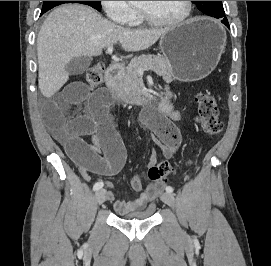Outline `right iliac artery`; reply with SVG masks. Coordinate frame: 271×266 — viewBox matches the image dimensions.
<instances>
[{
  "label": "right iliac artery",
  "mask_w": 271,
  "mask_h": 266,
  "mask_svg": "<svg viewBox=\"0 0 271 266\" xmlns=\"http://www.w3.org/2000/svg\"><path fill=\"white\" fill-rule=\"evenodd\" d=\"M103 186H104V183H103L102 181H98V182H96V183L94 184L93 190H94V191H97V190L101 189Z\"/></svg>",
  "instance_id": "right-iliac-artery-1"
}]
</instances>
